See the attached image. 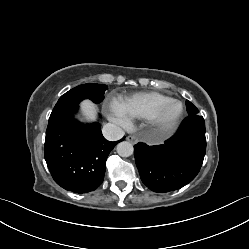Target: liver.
<instances>
[{"label":"liver","mask_w":249,"mask_h":249,"mask_svg":"<svg viewBox=\"0 0 249 249\" xmlns=\"http://www.w3.org/2000/svg\"><path fill=\"white\" fill-rule=\"evenodd\" d=\"M81 111L86 121H94L96 119V107L89 100H84L81 104Z\"/></svg>","instance_id":"liver-1"}]
</instances>
